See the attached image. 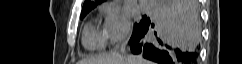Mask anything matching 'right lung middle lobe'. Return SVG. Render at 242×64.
Wrapping results in <instances>:
<instances>
[{
	"label": "right lung middle lobe",
	"mask_w": 242,
	"mask_h": 64,
	"mask_svg": "<svg viewBox=\"0 0 242 64\" xmlns=\"http://www.w3.org/2000/svg\"><path fill=\"white\" fill-rule=\"evenodd\" d=\"M88 12L81 13V19L85 17V15ZM150 23V19L146 16H143V19L140 21L139 24L134 25L133 35L137 34L139 31H141L143 28H145Z\"/></svg>",
	"instance_id": "right-lung-middle-lobe-1"
}]
</instances>
